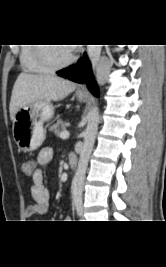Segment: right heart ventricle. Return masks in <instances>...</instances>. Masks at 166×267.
Returning <instances> with one entry per match:
<instances>
[{
	"instance_id": "1",
	"label": "right heart ventricle",
	"mask_w": 166,
	"mask_h": 267,
	"mask_svg": "<svg viewBox=\"0 0 166 267\" xmlns=\"http://www.w3.org/2000/svg\"><path fill=\"white\" fill-rule=\"evenodd\" d=\"M29 44L22 46L19 54V60L22 68L32 73H47L51 69L42 64L36 55V46Z\"/></svg>"
}]
</instances>
